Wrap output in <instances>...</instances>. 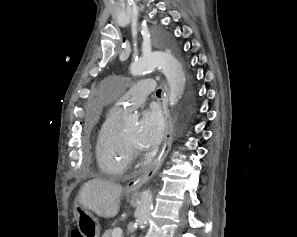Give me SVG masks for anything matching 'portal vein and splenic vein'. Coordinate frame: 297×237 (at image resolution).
Returning a JSON list of instances; mask_svg holds the SVG:
<instances>
[{"mask_svg":"<svg viewBox=\"0 0 297 237\" xmlns=\"http://www.w3.org/2000/svg\"><path fill=\"white\" fill-rule=\"evenodd\" d=\"M123 230L121 228H115L112 233V237H122Z\"/></svg>","mask_w":297,"mask_h":237,"instance_id":"obj_1","label":"portal vein and splenic vein"}]
</instances>
